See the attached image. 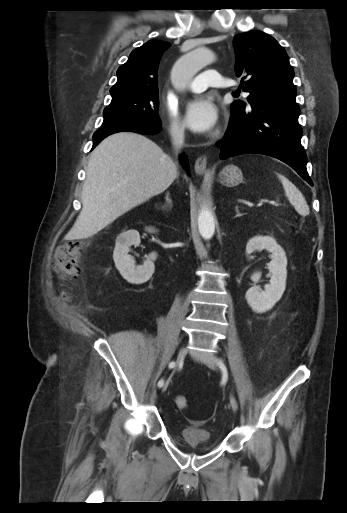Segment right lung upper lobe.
Returning a JSON list of instances; mask_svg holds the SVG:
<instances>
[{
	"mask_svg": "<svg viewBox=\"0 0 347 513\" xmlns=\"http://www.w3.org/2000/svg\"><path fill=\"white\" fill-rule=\"evenodd\" d=\"M170 43L150 40L133 50L117 70L118 80L110 89L112 96L127 92H158V65Z\"/></svg>",
	"mask_w": 347,
	"mask_h": 513,
	"instance_id": "1",
	"label": "right lung upper lobe"
}]
</instances>
